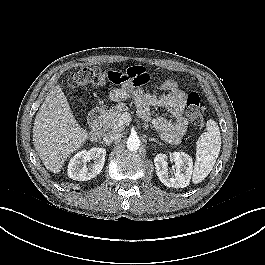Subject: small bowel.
Returning a JSON list of instances; mask_svg holds the SVG:
<instances>
[{
  "instance_id": "1",
  "label": "small bowel",
  "mask_w": 265,
  "mask_h": 265,
  "mask_svg": "<svg viewBox=\"0 0 265 265\" xmlns=\"http://www.w3.org/2000/svg\"><path fill=\"white\" fill-rule=\"evenodd\" d=\"M133 68L141 74V77L145 79L147 83L149 76L146 70L143 67ZM140 86L141 85H136L132 82H126L119 88L114 89L110 93V97L114 101H122L128 97H133L139 115L145 120L150 118L151 107L168 110L172 119L161 116L156 117L152 119V125L165 141L169 143H178L187 127V122L183 116L185 101L184 92L178 87V84L174 80H167L161 85L160 89L164 92L161 95L145 92Z\"/></svg>"
}]
</instances>
